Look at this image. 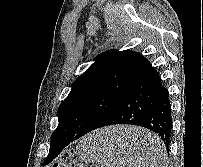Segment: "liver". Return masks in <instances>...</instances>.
I'll return each mask as SVG.
<instances>
[{
	"label": "liver",
	"instance_id": "liver-1",
	"mask_svg": "<svg viewBox=\"0 0 203 167\" xmlns=\"http://www.w3.org/2000/svg\"><path fill=\"white\" fill-rule=\"evenodd\" d=\"M111 136L113 152L117 160H124L130 165L138 163L141 156V148L151 133L140 127L115 126L102 130ZM134 167V166H132Z\"/></svg>",
	"mask_w": 203,
	"mask_h": 167
}]
</instances>
